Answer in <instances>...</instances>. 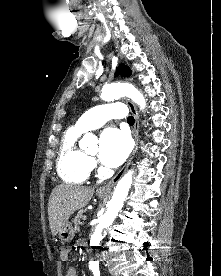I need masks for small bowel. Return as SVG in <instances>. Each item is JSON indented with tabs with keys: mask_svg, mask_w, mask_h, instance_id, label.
Wrapping results in <instances>:
<instances>
[{
	"mask_svg": "<svg viewBox=\"0 0 221 276\" xmlns=\"http://www.w3.org/2000/svg\"><path fill=\"white\" fill-rule=\"evenodd\" d=\"M70 251L66 249L63 253H61V259L66 261L69 258ZM64 276H77V270L74 267H69Z\"/></svg>",
	"mask_w": 221,
	"mask_h": 276,
	"instance_id": "c3829d8e",
	"label": "small bowel"
}]
</instances>
